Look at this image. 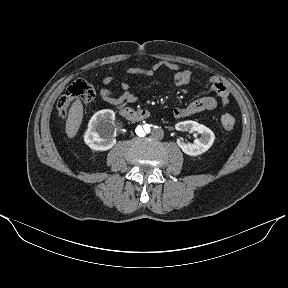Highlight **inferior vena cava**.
<instances>
[{
    "label": "inferior vena cava",
    "instance_id": "602c4592",
    "mask_svg": "<svg viewBox=\"0 0 288 288\" xmlns=\"http://www.w3.org/2000/svg\"><path fill=\"white\" fill-rule=\"evenodd\" d=\"M150 136H151V138L154 139V140H160V139H162L163 136H164V131H163V129L160 128V127H154V128H152L151 131H150Z\"/></svg>",
    "mask_w": 288,
    "mask_h": 288
}]
</instances>
